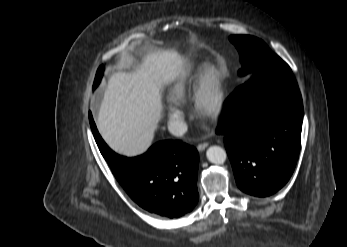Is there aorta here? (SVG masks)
<instances>
[{
	"mask_svg": "<svg viewBox=\"0 0 347 247\" xmlns=\"http://www.w3.org/2000/svg\"><path fill=\"white\" fill-rule=\"evenodd\" d=\"M207 159L213 164H223L226 161V151L220 146H210L206 151Z\"/></svg>",
	"mask_w": 347,
	"mask_h": 247,
	"instance_id": "aorta-1",
	"label": "aorta"
}]
</instances>
